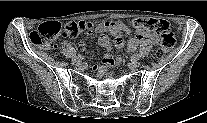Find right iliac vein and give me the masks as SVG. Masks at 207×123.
<instances>
[{
  "mask_svg": "<svg viewBox=\"0 0 207 123\" xmlns=\"http://www.w3.org/2000/svg\"><path fill=\"white\" fill-rule=\"evenodd\" d=\"M74 64H76L77 66L81 67L83 64L80 60H77Z\"/></svg>",
  "mask_w": 207,
  "mask_h": 123,
  "instance_id": "1",
  "label": "right iliac vein"
}]
</instances>
